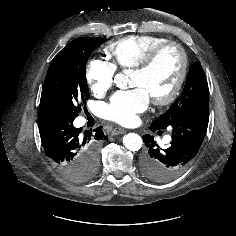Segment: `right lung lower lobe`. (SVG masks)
I'll return each instance as SVG.
<instances>
[{"mask_svg": "<svg viewBox=\"0 0 236 236\" xmlns=\"http://www.w3.org/2000/svg\"><path fill=\"white\" fill-rule=\"evenodd\" d=\"M74 119L43 115L38 125L47 156L65 177L80 182L82 170L97 157L99 142L107 136L101 126L90 131L75 128Z\"/></svg>", "mask_w": 236, "mask_h": 236, "instance_id": "1", "label": "right lung lower lobe"}]
</instances>
